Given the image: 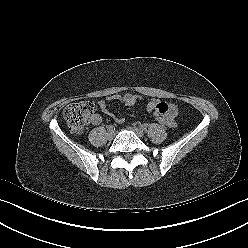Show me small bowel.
<instances>
[{
    "label": "small bowel",
    "instance_id": "small-bowel-1",
    "mask_svg": "<svg viewBox=\"0 0 248 248\" xmlns=\"http://www.w3.org/2000/svg\"><path fill=\"white\" fill-rule=\"evenodd\" d=\"M140 100H142V97L140 95L136 94H113L108 96L106 99H102L98 102V105L100 107V110L109 116H113V114L108 109V102L109 101H118L124 105L127 106H133L136 103H138ZM147 111L152 113L154 116H165L169 124L168 126H174L175 124V117L177 115V108L174 104L159 101L156 99H152L147 104ZM102 121V118L99 114H95L92 117V123L94 125L100 124ZM118 122H122V118H117Z\"/></svg>",
    "mask_w": 248,
    "mask_h": 248
}]
</instances>
